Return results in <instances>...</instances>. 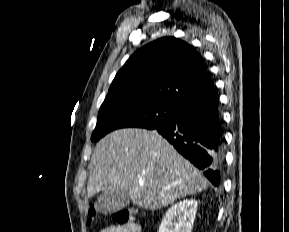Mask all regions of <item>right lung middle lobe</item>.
Masks as SVG:
<instances>
[{
  "label": "right lung middle lobe",
  "mask_w": 289,
  "mask_h": 232,
  "mask_svg": "<svg viewBox=\"0 0 289 232\" xmlns=\"http://www.w3.org/2000/svg\"><path fill=\"white\" fill-rule=\"evenodd\" d=\"M178 108L142 96L105 99L98 113L91 140L98 141L107 133L127 127L155 129L177 115Z\"/></svg>",
  "instance_id": "right-lung-middle-lobe-1"
}]
</instances>
